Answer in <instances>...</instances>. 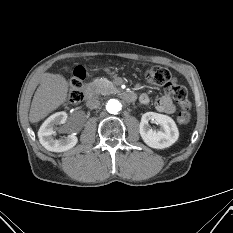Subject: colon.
<instances>
[{
    "instance_id": "1",
    "label": "colon",
    "mask_w": 233,
    "mask_h": 233,
    "mask_svg": "<svg viewBox=\"0 0 233 233\" xmlns=\"http://www.w3.org/2000/svg\"><path fill=\"white\" fill-rule=\"evenodd\" d=\"M147 81L155 86H162L165 94L169 95L180 106L181 111L178 120L181 124H188L191 119L190 101L185 86L174 83L171 80L170 72L162 66H152L146 72ZM85 80V71L82 67L74 69L69 81L68 101L71 104H78L83 100V85Z\"/></svg>"
}]
</instances>
